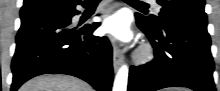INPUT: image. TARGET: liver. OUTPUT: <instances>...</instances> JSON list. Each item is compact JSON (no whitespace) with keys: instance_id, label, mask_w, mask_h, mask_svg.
<instances>
[{"instance_id":"1","label":"liver","mask_w":220,"mask_h":91,"mask_svg":"<svg viewBox=\"0 0 220 91\" xmlns=\"http://www.w3.org/2000/svg\"><path fill=\"white\" fill-rule=\"evenodd\" d=\"M19 91H94L78 78L68 75H41L26 82Z\"/></svg>"}]
</instances>
